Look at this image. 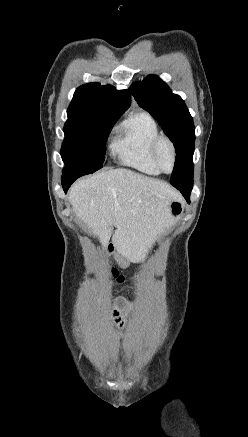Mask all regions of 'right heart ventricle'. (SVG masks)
<instances>
[{
  "label": "right heart ventricle",
  "instance_id": "obj_1",
  "mask_svg": "<svg viewBox=\"0 0 248 437\" xmlns=\"http://www.w3.org/2000/svg\"><path fill=\"white\" fill-rule=\"evenodd\" d=\"M160 135L152 115L145 111L133 113L117 127L111 145L112 153L122 165L157 176L161 172L152 160L151 147Z\"/></svg>",
  "mask_w": 248,
  "mask_h": 437
}]
</instances>
